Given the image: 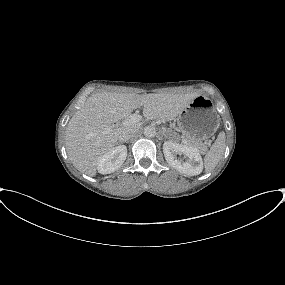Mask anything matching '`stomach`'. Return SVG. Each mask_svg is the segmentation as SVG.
<instances>
[{
  "mask_svg": "<svg viewBox=\"0 0 285 285\" xmlns=\"http://www.w3.org/2000/svg\"><path fill=\"white\" fill-rule=\"evenodd\" d=\"M176 121L180 131L187 137L204 140L217 131L220 117L213 102L209 98L199 95L182 110Z\"/></svg>",
  "mask_w": 285,
  "mask_h": 285,
  "instance_id": "obj_1",
  "label": "stomach"
}]
</instances>
